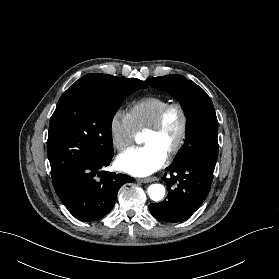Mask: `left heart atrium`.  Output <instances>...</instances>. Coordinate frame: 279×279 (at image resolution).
<instances>
[{
  "label": "left heart atrium",
  "instance_id": "1",
  "mask_svg": "<svg viewBox=\"0 0 279 279\" xmlns=\"http://www.w3.org/2000/svg\"><path fill=\"white\" fill-rule=\"evenodd\" d=\"M167 155L158 148L145 144L134 147L118 156L117 167L133 176H147L160 169Z\"/></svg>",
  "mask_w": 279,
  "mask_h": 279
}]
</instances>
